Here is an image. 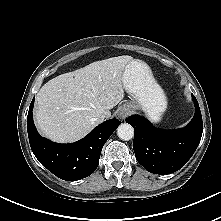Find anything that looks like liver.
Segmentation results:
<instances>
[{
    "label": "liver",
    "instance_id": "6515ba94",
    "mask_svg": "<svg viewBox=\"0 0 221 221\" xmlns=\"http://www.w3.org/2000/svg\"><path fill=\"white\" fill-rule=\"evenodd\" d=\"M132 60L128 55L112 57L49 80L37 94L39 131L59 143L86 136L124 98L123 72Z\"/></svg>",
    "mask_w": 221,
    "mask_h": 221
}]
</instances>
